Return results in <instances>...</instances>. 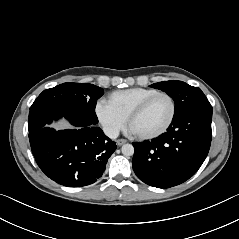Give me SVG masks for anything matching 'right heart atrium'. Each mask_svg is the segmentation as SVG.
<instances>
[{
  "mask_svg": "<svg viewBox=\"0 0 239 239\" xmlns=\"http://www.w3.org/2000/svg\"><path fill=\"white\" fill-rule=\"evenodd\" d=\"M96 114L105 131L111 136H116L126 122V118L110 108L105 101L97 104Z\"/></svg>",
  "mask_w": 239,
  "mask_h": 239,
  "instance_id": "right-heart-atrium-1",
  "label": "right heart atrium"
}]
</instances>
